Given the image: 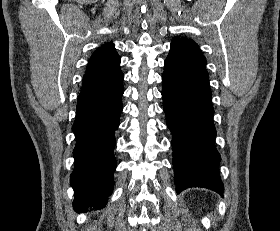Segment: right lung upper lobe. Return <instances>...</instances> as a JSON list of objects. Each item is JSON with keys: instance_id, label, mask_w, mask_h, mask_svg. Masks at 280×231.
<instances>
[{"instance_id": "1", "label": "right lung upper lobe", "mask_w": 280, "mask_h": 231, "mask_svg": "<svg viewBox=\"0 0 280 231\" xmlns=\"http://www.w3.org/2000/svg\"><path fill=\"white\" fill-rule=\"evenodd\" d=\"M113 43L98 48L86 68L78 100L91 99L122 85L124 75Z\"/></svg>"}]
</instances>
